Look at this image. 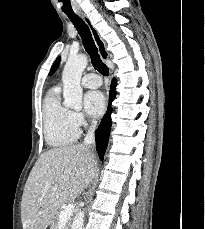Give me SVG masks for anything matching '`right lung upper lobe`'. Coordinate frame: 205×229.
Masks as SVG:
<instances>
[{
    "instance_id": "1",
    "label": "right lung upper lobe",
    "mask_w": 205,
    "mask_h": 229,
    "mask_svg": "<svg viewBox=\"0 0 205 229\" xmlns=\"http://www.w3.org/2000/svg\"><path fill=\"white\" fill-rule=\"evenodd\" d=\"M59 63H60V57L57 58V60L54 62L49 74H53L55 72V70L57 69Z\"/></svg>"
}]
</instances>
